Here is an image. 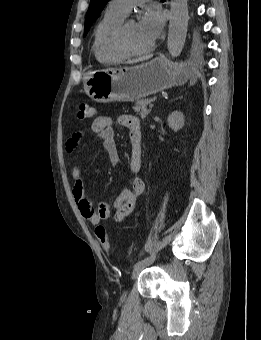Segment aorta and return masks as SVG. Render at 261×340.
Listing matches in <instances>:
<instances>
[{"label": "aorta", "mask_w": 261, "mask_h": 340, "mask_svg": "<svg viewBox=\"0 0 261 340\" xmlns=\"http://www.w3.org/2000/svg\"><path fill=\"white\" fill-rule=\"evenodd\" d=\"M188 0H172L167 47L172 57L182 52L188 28Z\"/></svg>", "instance_id": "aorta-1"}]
</instances>
